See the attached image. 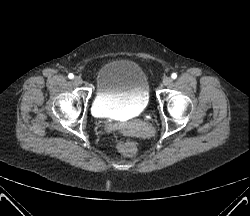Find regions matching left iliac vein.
<instances>
[{
    "label": "left iliac vein",
    "mask_w": 250,
    "mask_h": 216,
    "mask_svg": "<svg viewBox=\"0 0 250 216\" xmlns=\"http://www.w3.org/2000/svg\"><path fill=\"white\" fill-rule=\"evenodd\" d=\"M172 78H170V77H165L164 79H163V84L165 85V86H169V85H171L172 84Z\"/></svg>",
    "instance_id": "1"
}]
</instances>
